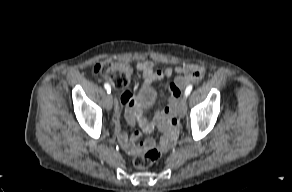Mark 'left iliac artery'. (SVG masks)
<instances>
[{"label": "left iliac artery", "mask_w": 292, "mask_h": 192, "mask_svg": "<svg viewBox=\"0 0 292 192\" xmlns=\"http://www.w3.org/2000/svg\"><path fill=\"white\" fill-rule=\"evenodd\" d=\"M192 88H193L192 85H189V86L186 88L185 93H184L186 97L191 93Z\"/></svg>", "instance_id": "obj_1"}]
</instances>
